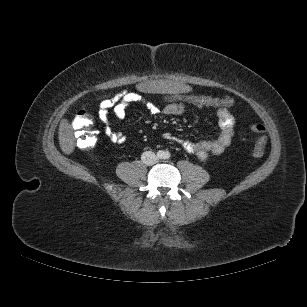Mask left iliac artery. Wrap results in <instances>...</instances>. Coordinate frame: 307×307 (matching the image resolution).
<instances>
[{
    "label": "left iliac artery",
    "mask_w": 307,
    "mask_h": 307,
    "mask_svg": "<svg viewBox=\"0 0 307 307\" xmlns=\"http://www.w3.org/2000/svg\"><path fill=\"white\" fill-rule=\"evenodd\" d=\"M171 154L167 151L164 153V159H169Z\"/></svg>",
    "instance_id": "obj_1"
}]
</instances>
